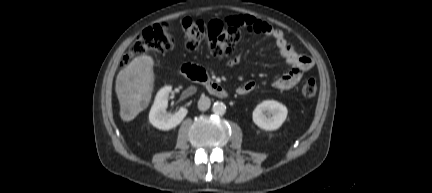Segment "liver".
<instances>
[{
    "label": "liver",
    "mask_w": 432,
    "mask_h": 193,
    "mask_svg": "<svg viewBox=\"0 0 432 193\" xmlns=\"http://www.w3.org/2000/svg\"><path fill=\"white\" fill-rule=\"evenodd\" d=\"M153 65L154 61L150 56L142 55L134 58L118 73L115 91L123 121L133 120L147 108L155 81Z\"/></svg>",
    "instance_id": "1"
}]
</instances>
